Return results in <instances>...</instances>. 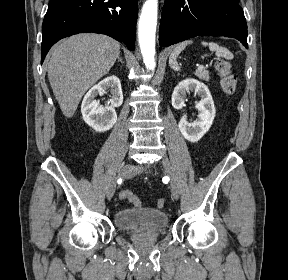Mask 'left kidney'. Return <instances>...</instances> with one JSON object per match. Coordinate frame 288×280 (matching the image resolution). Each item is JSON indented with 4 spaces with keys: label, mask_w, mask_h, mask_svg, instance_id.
Here are the masks:
<instances>
[{
    "label": "left kidney",
    "mask_w": 288,
    "mask_h": 280,
    "mask_svg": "<svg viewBox=\"0 0 288 280\" xmlns=\"http://www.w3.org/2000/svg\"><path fill=\"white\" fill-rule=\"evenodd\" d=\"M192 91L201 97L195 106L198 110L197 118L194 121H188L187 116L183 115L178 128L186 140L197 142L210 129L216 110L208 87L196 79L179 82L172 94V106L177 110L182 109L185 106L187 94Z\"/></svg>",
    "instance_id": "5707ae66"
}]
</instances>
